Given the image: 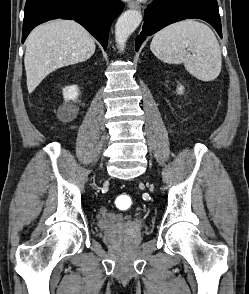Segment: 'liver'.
I'll use <instances>...</instances> for the list:
<instances>
[{
  "mask_svg": "<svg viewBox=\"0 0 249 294\" xmlns=\"http://www.w3.org/2000/svg\"><path fill=\"white\" fill-rule=\"evenodd\" d=\"M94 52V39L75 21L55 20L39 25L26 40L28 92L32 93L51 72L86 61Z\"/></svg>",
  "mask_w": 249,
  "mask_h": 294,
  "instance_id": "1",
  "label": "liver"
}]
</instances>
